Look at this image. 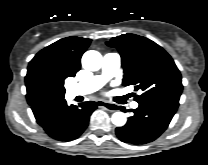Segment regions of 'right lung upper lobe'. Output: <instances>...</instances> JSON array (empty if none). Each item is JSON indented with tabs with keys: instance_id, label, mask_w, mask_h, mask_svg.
<instances>
[{
	"instance_id": "right-lung-upper-lobe-1",
	"label": "right lung upper lobe",
	"mask_w": 208,
	"mask_h": 165,
	"mask_svg": "<svg viewBox=\"0 0 208 165\" xmlns=\"http://www.w3.org/2000/svg\"><path fill=\"white\" fill-rule=\"evenodd\" d=\"M91 40L71 36L58 40L41 50L29 63L28 70L37 69L42 73L62 74L74 77L80 70V59ZM64 100V96H54L48 99H33L27 97L28 104L35 116L50 105Z\"/></svg>"
}]
</instances>
